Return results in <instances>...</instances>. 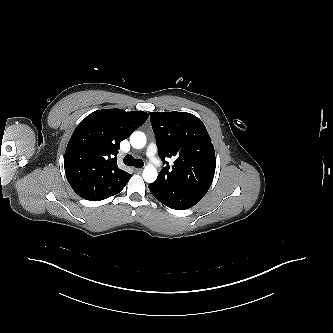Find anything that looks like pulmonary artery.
Returning a JSON list of instances; mask_svg holds the SVG:
<instances>
[{"instance_id": "pulmonary-artery-1", "label": "pulmonary artery", "mask_w": 333, "mask_h": 333, "mask_svg": "<svg viewBox=\"0 0 333 333\" xmlns=\"http://www.w3.org/2000/svg\"><path fill=\"white\" fill-rule=\"evenodd\" d=\"M156 153L157 147L154 143H151L147 148L146 154L153 164L159 165V160L156 158Z\"/></svg>"}]
</instances>
